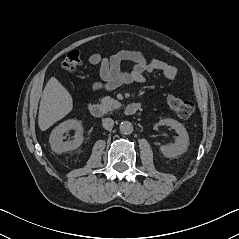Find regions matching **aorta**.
<instances>
[{"mask_svg": "<svg viewBox=\"0 0 239 239\" xmlns=\"http://www.w3.org/2000/svg\"><path fill=\"white\" fill-rule=\"evenodd\" d=\"M119 129L123 134H131L133 132V125L130 121H123L121 122Z\"/></svg>", "mask_w": 239, "mask_h": 239, "instance_id": "aorta-1", "label": "aorta"}]
</instances>
